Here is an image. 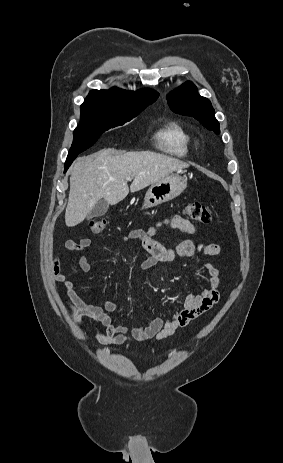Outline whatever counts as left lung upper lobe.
<instances>
[{
  "label": "left lung upper lobe",
  "mask_w": 283,
  "mask_h": 463,
  "mask_svg": "<svg viewBox=\"0 0 283 463\" xmlns=\"http://www.w3.org/2000/svg\"><path fill=\"white\" fill-rule=\"evenodd\" d=\"M170 108L180 114L193 116L207 129L220 133L219 123L211 102L198 94L196 86L187 81L167 96Z\"/></svg>",
  "instance_id": "5c2ea615"
}]
</instances>
